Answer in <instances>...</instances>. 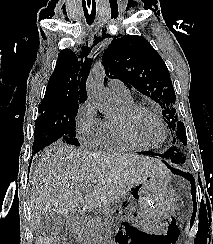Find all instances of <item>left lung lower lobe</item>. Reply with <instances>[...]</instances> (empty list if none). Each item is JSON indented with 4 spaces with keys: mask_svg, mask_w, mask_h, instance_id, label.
<instances>
[{
    "mask_svg": "<svg viewBox=\"0 0 213 244\" xmlns=\"http://www.w3.org/2000/svg\"><path fill=\"white\" fill-rule=\"evenodd\" d=\"M143 154L145 155H149V156H160L166 160H171L174 163V156H173V152L171 149H169L168 151H166L164 154L160 155V154H156L153 152H144ZM164 163H166V165H168L167 161L164 160ZM169 166V165H168ZM172 170L177 173L182 175L183 177L187 178L190 183H191V189H192V195H193V199H194V204H195V198H196V190H195V180L193 178V176L190 173H185L183 171H180L178 169L172 168Z\"/></svg>",
    "mask_w": 213,
    "mask_h": 244,
    "instance_id": "obj_1",
    "label": "left lung lower lobe"
}]
</instances>
